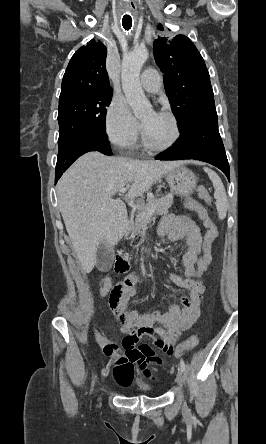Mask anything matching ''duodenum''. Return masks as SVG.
I'll list each match as a JSON object with an SVG mask.
<instances>
[{"instance_id": "410a0bca", "label": "duodenum", "mask_w": 266, "mask_h": 444, "mask_svg": "<svg viewBox=\"0 0 266 444\" xmlns=\"http://www.w3.org/2000/svg\"><path fill=\"white\" fill-rule=\"evenodd\" d=\"M115 266L117 271H126L129 268L130 263L122 253H118Z\"/></svg>"}]
</instances>
